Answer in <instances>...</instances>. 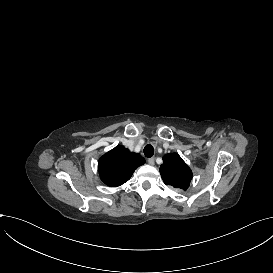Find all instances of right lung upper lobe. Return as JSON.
<instances>
[{"mask_svg":"<svg viewBox=\"0 0 273 273\" xmlns=\"http://www.w3.org/2000/svg\"><path fill=\"white\" fill-rule=\"evenodd\" d=\"M143 163L144 160L139 154L117 146L99 159L100 178L108 186H120L127 182L135 169Z\"/></svg>","mask_w":273,"mask_h":273,"instance_id":"right-lung-upper-lobe-1","label":"right lung upper lobe"}]
</instances>
